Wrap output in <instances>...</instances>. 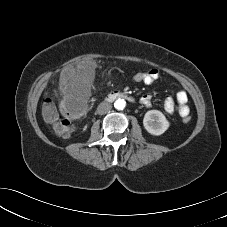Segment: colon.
Here are the masks:
<instances>
[{"label":"colon","instance_id":"obj_1","mask_svg":"<svg viewBox=\"0 0 227 227\" xmlns=\"http://www.w3.org/2000/svg\"><path fill=\"white\" fill-rule=\"evenodd\" d=\"M131 80L135 83H144L146 72L139 71L131 75ZM83 107L76 102H62L59 107L52 99H46L43 104V116L45 120L52 126L53 130L62 136H67L72 132V121L79 119L83 115ZM185 123L190 122L189 113L180 115Z\"/></svg>","mask_w":227,"mask_h":227}]
</instances>
